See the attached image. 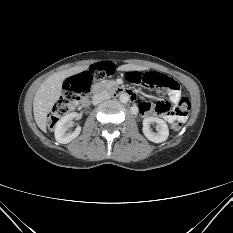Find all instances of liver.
<instances>
[{
    "instance_id": "6515ba94",
    "label": "liver",
    "mask_w": 233,
    "mask_h": 233,
    "mask_svg": "<svg viewBox=\"0 0 233 233\" xmlns=\"http://www.w3.org/2000/svg\"><path fill=\"white\" fill-rule=\"evenodd\" d=\"M87 67H73L65 71L55 73L48 77L38 88L33 99L34 119L38 127L46 130L47 115L52 111L54 104L62 93L63 81L77 73L86 70ZM144 67L133 64H125L118 67L119 71L144 70Z\"/></svg>"
}]
</instances>
